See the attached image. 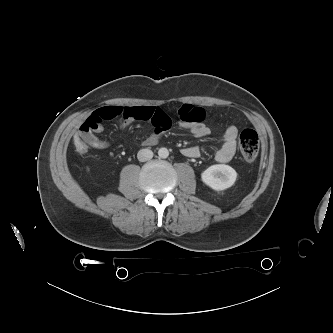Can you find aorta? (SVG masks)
I'll return each instance as SVG.
<instances>
[{"label": "aorta", "mask_w": 333, "mask_h": 333, "mask_svg": "<svg viewBox=\"0 0 333 333\" xmlns=\"http://www.w3.org/2000/svg\"><path fill=\"white\" fill-rule=\"evenodd\" d=\"M158 156H159L160 158H163V159L167 158V157L169 156V151H168V149H167V148H160V149L158 150Z\"/></svg>", "instance_id": "aorta-1"}]
</instances>
